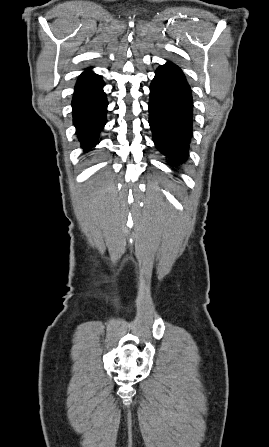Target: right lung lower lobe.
<instances>
[{
	"label": "right lung lower lobe",
	"instance_id": "right-lung-lower-lobe-1",
	"mask_svg": "<svg viewBox=\"0 0 269 447\" xmlns=\"http://www.w3.org/2000/svg\"><path fill=\"white\" fill-rule=\"evenodd\" d=\"M104 82L99 75L86 70L78 78L72 100L73 122L83 149L96 145L106 123L107 100Z\"/></svg>",
	"mask_w": 269,
	"mask_h": 447
}]
</instances>
